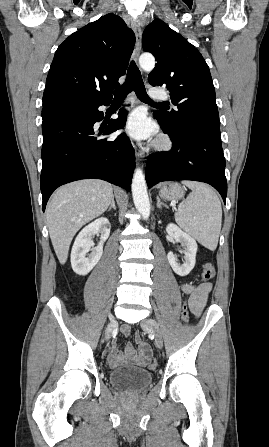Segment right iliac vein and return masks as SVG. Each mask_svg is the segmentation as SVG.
<instances>
[{
	"instance_id": "1",
	"label": "right iliac vein",
	"mask_w": 269,
	"mask_h": 447,
	"mask_svg": "<svg viewBox=\"0 0 269 447\" xmlns=\"http://www.w3.org/2000/svg\"><path fill=\"white\" fill-rule=\"evenodd\" d=\"M115 322H116L115 320H112V321H111V324L107 326L106 338H108V337L110 336V334H111V330H112V326H113V324H114Z\"/></svg>"
}]
</instances>
